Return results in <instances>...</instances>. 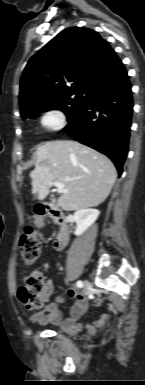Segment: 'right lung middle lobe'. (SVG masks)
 I'll list each match as a JSON object with an SVG mask.
<instances>
[{
    "label": "right lung middle lobe",
    "mask_w": 145,
    "mask_h": 385,
    "mask_svg": "<svg viewBox=\"0 0 145 385\" xmlns=\"http://www.w3.org/2000/svg\"><path fill=\"white\" fill-rule=\"evenodd\" d=\"M85 94V95H84ZM90 91L83 89H76L67 92L50 102L28 110L22 114V118H35L41 111H47L52 109H58L67 115L70 122L74 116L85 106L88 101Z\"/></svg>",
    "instance_id": "right-lung-middle-lobe-1"
}]
</instances>
